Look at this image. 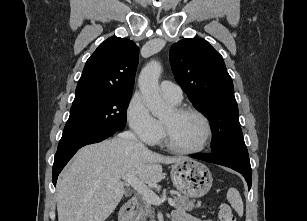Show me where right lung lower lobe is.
Segmentation results:
<instances>
[{
	"mask_svg": "<svg viewBox=\"0 0 307 221\" xmlns=\"http://www.w3.org/2000/svg\"><path fill=\"white\" fill-rule=\"evenodd\" d=\"M115 132L102 134L98 136H91L84 138L82 140L73 142L71 144H68L66 146L58 147L57 152L55 154L54 158V164H53V178L52 182L54 186L56 185L57 177L61 170L64 168V166L68 163V161L73 157V155L80 149L81 147L87 145V144H93L100 142L110 136H112Z\"/></svg>",
	"mask_w": 307,
	"mask_h": 221,
	"instance_id": "right-lung-lower-lobe-1",
	"label": "right lung lower lobe"
}]
</instances>
